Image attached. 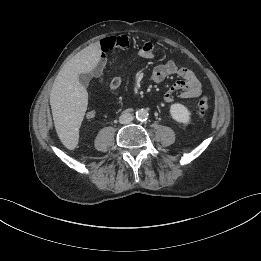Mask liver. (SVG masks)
Listing matches in <instances>:
<instances>
[{"label":"liver","mask_w":261,"mask_h":261,"mask_svg":"<svg viewBox=\"0 0 261 261\" xmlns=\"http://www.w3.org/2000/svg\"><path fill=\"white\" fill-rule=\"evenodd\" d=\"M101 56L99 43L78 52L61 69L50 92V105L56 132L63 143L77 138L78 129L88 104L86 88L79 74L91 72Z\"/></svg>","instance_id":"obj_1"}]
</instances>
